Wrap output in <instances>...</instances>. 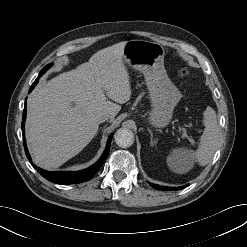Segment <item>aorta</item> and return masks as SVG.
I'll list each match as a JSON object with an SVG mask.
<instances>
[{"mask_svg":"<svg viewBox=\"0 0 247 247\" xmlns=\"http://www.w3.org/2000/svg\"><path fill=\"white\" fill-rule=\"evenodd\" d=\"M114 139L119 147L126 148L133 144L134 134L128 128H120L116 131Z\"/></svg>","mask_w":247,"mask_h":247,"instance_id":"762f6f07","label":"aorta"}]
</instances>
